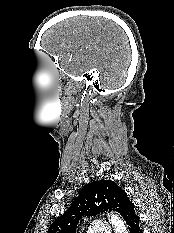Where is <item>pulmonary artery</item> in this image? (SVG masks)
Returning a JSON list of instances; mask_svg holds the SVG:
<instances>
[{
    "label": "pulmonary artery",
    "mask_w": 174,
    "mask_h": 233,
    "mask_svg": "<svg viewBox=\"0 0 174 233\" xmlns=\"http://www.w3.org/2000/svg\"><path fill=\"white\" fill-rule=\"evenodd\" d=\"M93 231L94 233H111L112 228L109 223L98 221L94 224Z\"/></svg>",
    "instance_id": "e3ab8cb5"
}]
</instances>
